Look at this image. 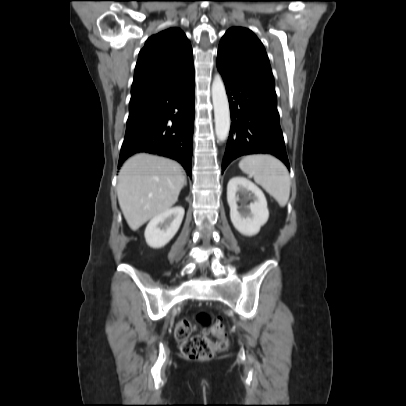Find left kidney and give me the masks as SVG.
<instances>
[{"instance_id":"obj_1","label":"left kidney","mask_w":406,"mask_h":406,"mask_svg":"<svg viewBox=\"0 0 406 406\" xmlns=\"http://www.w3.org/2000/svg\"><path fill=\"white\" fill-rule=\"evenodd\" d=\"M252 202L239 208L237 202ZM227 201L230 207V218L233 226L243 235H256L268 218L269 211L264 193L253 182L244 177H233L227 185Z\"/></svg>"}]
</instances>
